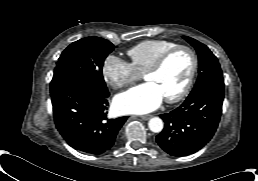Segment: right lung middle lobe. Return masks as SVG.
<instances>
[{
	"label": "right lung middle lobe",
	"mask_w": 258,
	"mask_h": 181,
	"mask_svg": "<svg viewBox=\"0 0 258 181\" xmlns=\"http://www.w3.org/2000/svg\"><path fill=\"white\" fill-rule=\"evenodd\" d=\"M114 45L100 37H86L70 44L61 54L53 79L63 78L102 97L109 92L102 76V67Z\"/></svg>",
	"instance_id": "right-lung-middle-lobe-1"
}]
</instances>
